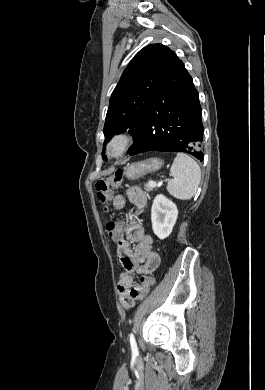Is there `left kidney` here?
<instances>
[{
    "mask_svg": "<svg viewBox=\"0 0 265 390\" xmlns=\"http://www.w3.org/2000/svg\"><path fill=\"white\" fill-rule=\"evenodd\" d=\"M177 206L164 195H157L151 208V221L154 234L161 240L167 238L176 223Z\"/></svg>",
    "mask_w": 265,
    "mask_h": 390,
    "instance_id": "left-kidney-1",
    "label": "left kidney"
}]
</instances>
